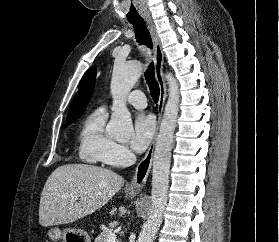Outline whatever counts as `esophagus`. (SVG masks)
I'll return each instance as SVG.
<instances>
[{
  "label": "esophagus",
  "instance_id": "esophagus-1",
  "mask_svg": "<svg viewBox=\"0 0 279 242\" xmlns=\"http://www.w3.org/2000/svg\"><path fill=\"white\" fill-rule=\"evenodd\" d=\"M146 25L150 31L152 41H153L155 77H156V80L158 82L159 89H160V96H159V102H158V125H159L161 116H162V112H163V108H164V104H165V100L167 97L166 83H165V79H164V75H163L164 55H163L160 39L158 37L154 24L151 21H147ZM156 136H157V133H156L147 153L145 154L144 158L137 165L133 179L126 186L127 191L140 192L146 185V182H147L150 170H151V166H152Z\"/></svg>",
  "mask_w": 279,
  "mask_h": 242
}]
</instances>
